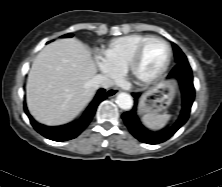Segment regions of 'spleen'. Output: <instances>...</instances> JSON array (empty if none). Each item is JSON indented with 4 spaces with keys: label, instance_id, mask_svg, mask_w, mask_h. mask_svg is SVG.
<instances>
[{
    "label": "spleen",
    "instance_id": "3e777b00",
    "mask_svg": "<svg viewBox=\"0 0 222 187\" xmlns=\"http://www.w3.org/2000/svg\"><path fill=\"white\" fill-rule=\"evenodd\" d=\"M169 114H146L143 116V122L145 125L153 130L161 129L170 119Z\"/></svg>",
    "mask_w": 222,
    "mask_h": 187
}]
</instances>
